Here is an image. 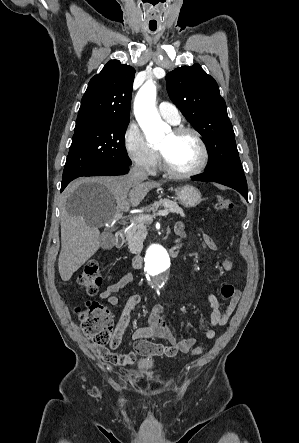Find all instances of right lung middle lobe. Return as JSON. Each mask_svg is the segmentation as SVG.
Masks as SVG:
<instances>
[{"instance_id": "1", "label": "right lung middle lobe", "mask_w": 299, "mask_h": 443, "mask_svg": "<svg viewBox=\"0 0 299 443\" xmlns=\"http://www.w3.org/2000/svg\"><path fill=\"white\" fill-rule=\"evenodd\" d=\"M128 123L129 120H107L75 129L62 183L104 166L131 165L124 146Z\"/></svg>"}]
</instances>
